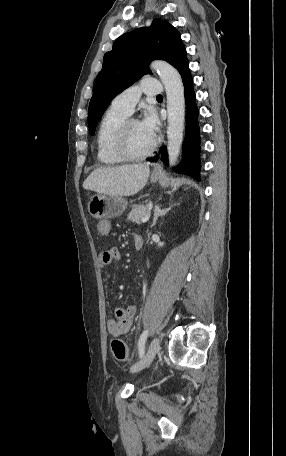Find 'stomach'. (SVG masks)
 Masks as SVG:
<instances>
[{
    "mask_svg": "<svg viewBox=\"0 0 286 456\" xmlns=\"http://www.w3.org/2000/svg\"><path fill=\"white\" fill-rule=\"evenodd\" d=\"M159 178L160 175L152 173L150 180L155 183ZM127 205V200L121 196L97 194L88 202V212L97 219L114 218L120 216Z\"/></svg>",
    "mask_w": 286,
    "mask_h": 456,
    "instance_id": "1",
    "label": "stomach"
}]
</instances>
